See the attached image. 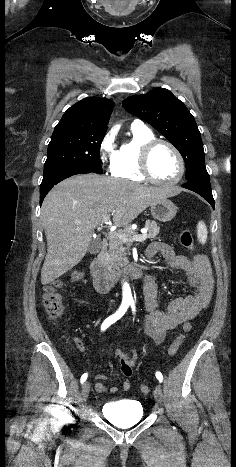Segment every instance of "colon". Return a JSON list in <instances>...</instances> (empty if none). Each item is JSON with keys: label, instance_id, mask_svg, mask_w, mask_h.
Instances as JSON below:
<instances>
[{"label": "colon", "instance_id": "5ec220e1", "mask_svg": "<svg viewBox=\"0 0 236 467\" xmlns=\"http://www.w3.org/2000/svg\"><path fill=\"white\" fill-rule=\"evenodd\" d=\"M180 243L186 249L193 251L194 250V239L191 231L184 229L180 232ZM79 276L78 272H74L72 274L73 278H77ZM64 282L62 280H56L52 283L48 284L44 290L43 302L46 309V312L51 320L59 319L64 312V307L61 300V295L59 290L63 287ZM192 330V324L186 322L183 325V333L179 335L169 347V355L173 356L178 351L179 347L181 346L185 335ZM149 389L146 384H142L140 386V392L142 394L148 393Z\"/></svg>", "mask_w": 236, "mask_h": 467}]
</instances>
